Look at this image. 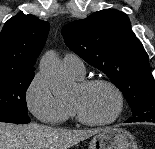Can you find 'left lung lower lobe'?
Masks as SVG:
<instances>
[{
  "label": "left lung lower lobe",
  "mask_w": 155,
  "mask_h": 149,
  "mask_svg": "<svg viewBox=\"0 0 155 149\" xmlns=\"http://www.w3.org/2000/svg\"><path fill=\"white\" fill-rule=\"evenodd\" d=\"M130 122H155V109L136 117H131L125 121V123Z\"/></svg>",
  "instance_id": "0a47b994"
}]
</instances>
